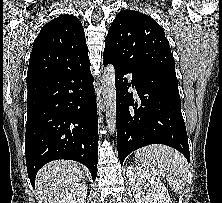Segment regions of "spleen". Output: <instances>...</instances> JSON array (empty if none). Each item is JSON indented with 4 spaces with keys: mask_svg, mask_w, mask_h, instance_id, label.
I'll list each match as a JSON object with an SVG mask.
<instances>
[{
    "mask_svg": "<svg viewBox=\"0 0 222 203\" xmlns=\"http://www.w3.org/2000/svg\"><path fill=\"white\" fill-rule=\"evenodd\" d=\"M135 162L154 175L164 178L173 191L181 194L188 180V163L177 150L153 144L135 152Z\"/></svg>",
    "mask_w": 222,
    "mask_h": 203,
    "instance_id": "1",
    "label": "spleen"
}]
</instances>
